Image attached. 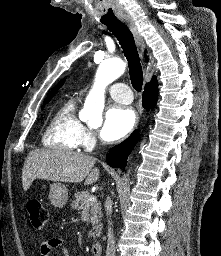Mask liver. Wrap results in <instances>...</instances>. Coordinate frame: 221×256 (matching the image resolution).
<instances>
[{
	"mask_svg": "<svg viewBox=\"0 0 221 256\" xmlns=\"http://www.w3.org/2000/svg\"><path fill=\"white\" fill-rule=\"evenodd\" d=\"M95 158L62 149L31 151L22 170V187L27 191L34 180L79 183L85 179L91 185L99 179V169L93 168Z\"/></svg>",
	"mask_w": 221,
	"mask_h": 256,
	"instance_id": "1",
	"label": "liver"
}]
</instances>
